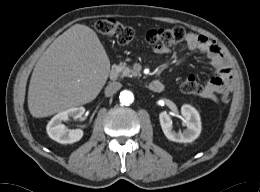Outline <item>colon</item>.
Returning <instances> with one entry per match:
<instances>
[{
	"instance_id": "5ec220e1",
	"label": "colon",
	"mask_w": 260,
	"mask_h": 192,
	"mask_svg": "<svg viewBox=\"0 0 260 192\" xmlns=\"http://www.w3.org/2000/svg\"><path fill=\"white\" fill-rule=\"evenodd\" d=\"M95 27L100 34L115 38L122 45H127L137 40V36L131 27L112 18L99 20ZM189 34L190 32L181 26L159 28L148 31L143 40L153 47H168L185 41ZM201 87L202 85L198 83L193 75L187 76L182 84V90L187 94H198L201 91Z\"/></svg>"
}]
</instances>
